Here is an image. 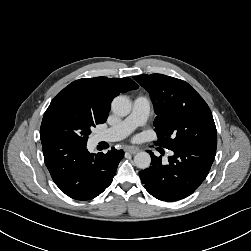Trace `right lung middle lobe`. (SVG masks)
<instances>
[{"label":"right lung middle lobe","instance_id":"obj_1","mask_svg":"<svg viewBox=\"0 0 251 251\" xmlns=\"http://www.w3.org/2000/svg\"><path fill=\"white\" fill-rule=\"evenodd\" d=\"M91 112L70 98L52 101L46 110L40 129V138L64 139L87 144L91 128L100 124Z\"/></svg>","mask_w":251,"mask_h":251}]
</instances>
